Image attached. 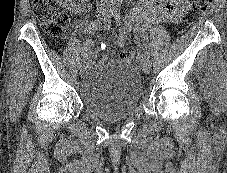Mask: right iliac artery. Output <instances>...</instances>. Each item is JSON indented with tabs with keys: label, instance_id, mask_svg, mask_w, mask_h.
<instances>
[{
	"label": "right iliac artery",
	"instance_id": "right-iliac-artery-1",
	"mask_svg": "<svg viewBox=\"0 0 227 173\" xmlns=\"http://www.w3.org/2000/svg\"><path fill=\"white\" fill-rule=\"evenodd\" d=\"M111 15H113V12H112V14H109L107 17L104 18L105 29L109 28ZM82 62L84 63L85 61L81 60V64H82Z\"/></svg>",
	"mask_w": 227,
	"mask_h": 173
}]
</instances>
